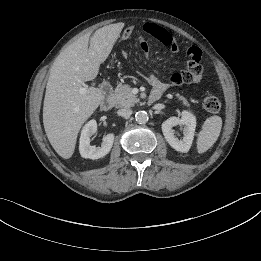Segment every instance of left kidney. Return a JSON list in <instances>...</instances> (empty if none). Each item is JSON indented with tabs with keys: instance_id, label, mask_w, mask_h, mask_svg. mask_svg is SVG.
Wrapping results in <instances>:
<instances>
[{
	"instance_id": "1",
	"label": "left kidney",
	"mask_w": 261,
	"mask_h": 261,
	"mask_svg": "<svg viewBox=\"0 0 261 261\" xmlns=\"http://www.w3.org/2000/svg\"><path fill=\"white\" fill-rule=\"evenodd\" d=\"M177 125L184 126L182 139H178L175 135V130L173 127ZM195 128L196 118L189 111H183L181 118L170 117L162 123V132L166 141L176 151L184 153L188 152L192 145Z\"/></svg>"
}]
</instances>
